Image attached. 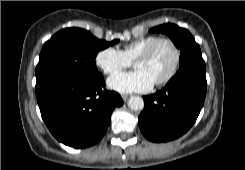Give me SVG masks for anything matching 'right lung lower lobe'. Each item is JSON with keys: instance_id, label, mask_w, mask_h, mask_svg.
I'll list each match as a JSON object with an SVG mask.
<instances>
[{"instance_id": "98d812e1", "label": "right lung lower lobe", "mask_w": 245, "mask_h": 170, "mask_svg": "<svg viewBox=\"0 0 245 170\" xmlns=\"http://www.w3.org/2000/svg\"><path fill=\"white\" fill-rule=\"evenodd\" d=\"M103 88L104 78L99 74L62 79L36 91L42 118L58 141L87 148L101 140L112 111L123 105L118 93Z\"/></svg>"}]
</instances>
